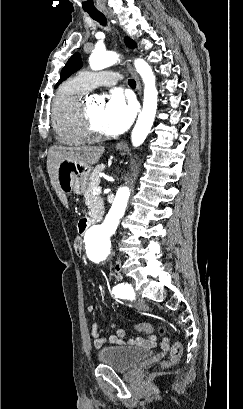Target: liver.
I'll return each mask as SVG.
<instances>
[{"mask_svg":"<svg viewBox=\"0 0 243 409\" xmlns=\"http://www.w3.org/2000/svg\"><path fill=\"white\" fill-rule=\"evenodd\" d=\"M104 150L102 146L62 147L57 145L49 149L47 156L48 174L54 190L65 207L68 206L67 197L60 190L57 181V167L59 163L62 160H68L85 167H91L99 161Z\"/></svg>","mask_w":243,"mask_h":409,"instance_id":"6515ba94","label":"liver"}]
</instances>
